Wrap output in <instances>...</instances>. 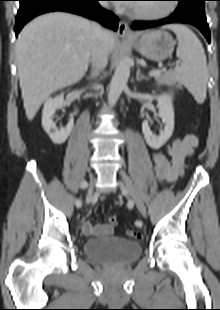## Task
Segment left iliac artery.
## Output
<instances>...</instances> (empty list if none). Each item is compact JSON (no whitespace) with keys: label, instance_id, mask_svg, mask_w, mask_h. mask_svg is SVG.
Wrapping results in <instances>:
<instances>
[{"label":"left iliac artery","instance_id":"44dca946","mask_svg":"<svg viewBox=\"0 0 220 310\" xmlns=\"http://www.w3.org/2000/svg\"><path fill=\"white\" fill-rule=\"evenodd\" d=\"M127 207H128V209H133V207H134V202H133L132 200L128 201ZM135 225H136L137 227H141V226L143 225V223H142L141 220H136V221H135Z\"/></svg>","mask_w":220,"mask_h":310}]
</instances>
